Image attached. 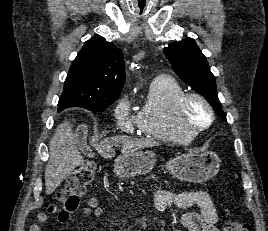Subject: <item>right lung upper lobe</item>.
I'll return each instance as SVG.
<instances>
[{"mask_svg": "<svg viewBox=\"0 0 268 231\" xmlns=\"http://www.w3.org/2000/svg\"><path fill=\"white\" fill-rule=\"evenodd\" d=\"M124 82L122 51L104 38H92L74 59L59 103L96 104L117 99Z\"/></svg>", "mask_w": 268, "mask_h": 231, "instance_id": "cb5924a9", "label": "right lung upper lobe"}]
</instances>
